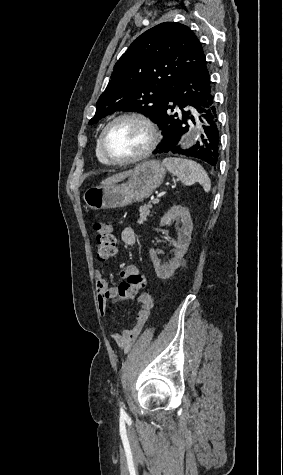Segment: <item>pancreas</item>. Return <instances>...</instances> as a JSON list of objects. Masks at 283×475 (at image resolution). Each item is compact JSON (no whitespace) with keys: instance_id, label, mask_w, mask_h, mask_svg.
Segmentation results:
<instances>
[{"instance_id":"cf45deb5","label":"pancreas","mask_w":283,"mask_h":475,"mask_svg":"<svg viewBox=\"0 0 283 475\" xmlns=\"http://www.w3.org/2000/svg\"><path fill=\"white\" fill-rule=\"evenodd\" d=\"M150 208H152V204H147V206L145 204V206H142V208H140V218L139 220H137V224H144V222H146L147 216H149L150 214Z\"/></svg>"}]
</instances>
